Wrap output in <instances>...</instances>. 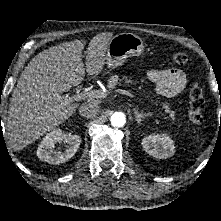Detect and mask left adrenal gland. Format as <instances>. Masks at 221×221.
<instances>
[{
	"mask_svg": "<svg viewBox=\"0 0 221 221\" xmlns=\"http://www.w3.org/2000/svg\"><path fill=\"white\" fill-rule=\"evenodd\" d=\"M134 114L137 120L138 124H141V122L148 116L151 115V113H143V112H139L137 108H134Z\"/></svg>",
	"mask_w": 221,
	"mask_h": 221,
	"instance_id": "obj_1",
	"label": "left adrenal gland"
}]
</instances>
